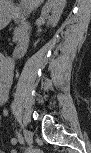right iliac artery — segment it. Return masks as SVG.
<instances>
[{
  "label": "right iliac artery",
  "mask_w": 91,
  "mask_h": 153,
  "mask_svg": "<svg viewBox=\"0 0 91 153\" xmlns=\"http://www.w3.org/2000/svg\"><path fill=\"white\" fill-rule=\"evenodd\" d=\"M18 141L23 144L24 143V138L22 137V135L19 133L18 134Z\"/></svg>",
  "instance_id": "obj_1"
}]
</instances>
